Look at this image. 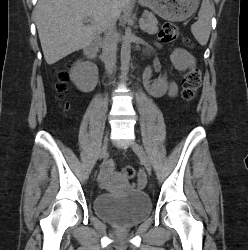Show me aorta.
I'll list each match as a JSON object with an SVG mask.
<instances>
[{"label": "aorta", "mask_w": 248, "mask_h": 250, "mask_svg": "<svg viewBox=\"0 0 248 250\" xmlns=\"http://www.w3.org/2000/svg\"><path fill=\"white\" fill-rule=\"evenodd\" d=\"M130 58H131V29L128 28L125 31V35L122 39V46H121V70L123 75L125 76L129 71Z\"/></svg>", "instance_id": "762f6f07"}]
</instances>
